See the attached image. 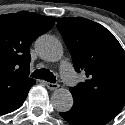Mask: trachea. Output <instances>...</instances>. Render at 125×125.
<instances>
[{"mask_svg":"<svg viewBox=\"0 0 125 125\" xmlns=\"http://www.w3.org/2000/svg\"><path fill=\"white\" fill-rule=\"evenodd\" d=\"M31 77L37 79H44L51 83H56V77L48 69H37L31 74Z\"/></svg>","mask_w":125,"mask_h":125,"instance_id":"obj_1","label":"trachea"}]
</instances>
